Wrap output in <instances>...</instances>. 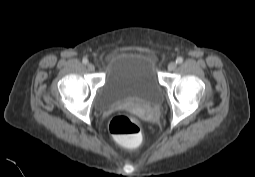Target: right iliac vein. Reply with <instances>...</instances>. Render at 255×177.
Wrapping results in <instances>:
<instances>
[{
  "label": "right iliac vein",
  "instance_id": "63e3f726",
  "mask_svg": "<svg viewBox=\"0 0 255 177\" xmlns=\"http://www.w3.org/2000/svg\"><path fill=\"white\" fill-rule=\"evenodd\" d=\"M87 67H88V70H89V71H94V70H95V65L92 64V63H89V64L87 65Z\"/></svg>",
  "mask_w": 255,
  "mask_h": 177
}]
</instances>
